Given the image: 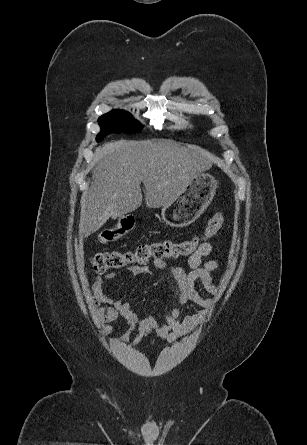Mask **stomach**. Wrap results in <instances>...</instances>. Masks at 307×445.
Masks as SVG:
<instances>
[{"label":"stomach","instance_id":"obj_1","mask_svg":"<svg viewBox=\"0 0 307 445\" xmlns=\"http://www.w3.org/2000/svg\"><path fill=\"white\" fill-rule=\"evenodd\" d=\"M217 180L209 172H198L180 196L162 206L161 216L169 227H188L209 206L217 188Z\"/></svg>","mask_w":307,"mask_h":445}]
</instances>
